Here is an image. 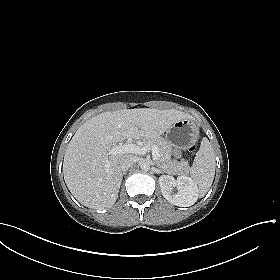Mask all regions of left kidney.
Wrapping results in <instances>:
<instances>
[{
	"mask_svg": "<svg viewBox=\"0 0 280 280\" xmlns=\"http://www.w3.org/2000/svg\"><path fill=\"white\" fill-rule=\"evenodd\" d=\"M159 184L163 197L176 206L189 207L198 199V187L188 176L175 179L173 176L162 175L159 177ZM174 188L177 192H174Z\"/></svg>",
	"mask_w": 280,
	"mask_h": 280,
	"instance_id": "obj_1",
	"label": "left kidney"
}]
</instances>
